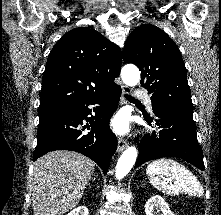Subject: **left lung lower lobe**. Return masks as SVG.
<instances>
[{
  "instance_id": "obj_1",
  "label": "left lung lower lobe",
  "mask_w": 221,
  "mask_h": 215,
  "mask_svg": "<svg viewBox=\"0 0 221 215\" xmlns=\"http://www.w3.org/2000/svg\"><path fill=\"white\" fill-rule=\"evenodd\" d=\"M159 134L145 135L135 168L162 157L181 158L200 170H205L203 154L197 140L193 113L169 108L153 107Z\"/></svg>"
}]
</instances>
